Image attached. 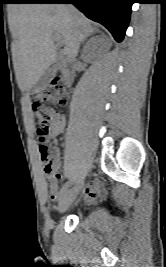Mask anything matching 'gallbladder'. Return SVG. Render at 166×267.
Returning a JSON list of instances; mask_svg holds the SVG:
<instances>
[{"label": "gallbladder", "mask_w": 166, "mask_h": 267, "mask_svg": "<svg viewBox=\"0 0 166 267\" xmlns=\"http://www.w3.org/2000/svg\"><path fill=\"white\" fill-rule=\"evenodd\" d=\"M62 65V60L58 57L54 63V65L44 71V73L40 76L35 85L31 88V92L35 93L37 91H41L49 86L50 81L55 77L57 71L60 69Z\"/></svg>", "instance_id": "gallbladder-1"}]
</instances>
